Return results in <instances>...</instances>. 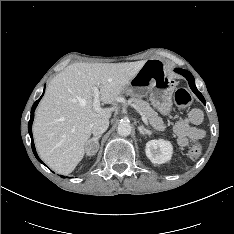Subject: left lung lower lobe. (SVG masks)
Segmentation results:
<instances>
[{"label": "left lung lower lobe", "instance_id": "left-lung-lower-lobe-1", "mask_svg": "<svg viewBox=\"0 0 234 234\" xmlns=\"http://www.w3.org/2000/svg\"><path fill=\"white\" fill-rule=\"evenodd\" d=\"M175 71L181 75H183L184 77H186V79L188 80L189 82V85L192 89V91L198 96V98L203 102L205 103V99L204 97L202 96V94L197 90L196 86H195V81H194V78L192 76V74L187 71V70H183V69H175Z\"/></svg>", "mask_w": 234, "mask_h": 234}]
</instances>
